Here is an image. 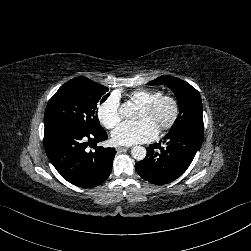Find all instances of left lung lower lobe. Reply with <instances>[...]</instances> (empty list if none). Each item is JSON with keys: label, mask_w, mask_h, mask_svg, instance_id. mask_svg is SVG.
I'll list each match as a JSON object with an SVG mask.
<instances>
[{"label": "left lung lower lobe", "mask_w": 251, "mask_h": 251, "mask_svg": "<svg viewBox=\"0 0 251 251\" xmlns=\"http://www.w3.org/2000/svg\"><path fill=\"white\" fill-rule=\"evenodd\" d=\"M203 142V134L179 131L149 146L145 159L135 164L146 181L162 185L180 177L190 166Z\"/></svg>", "instance_id": "left-lung-lower-lobe-1"}]
</instances>
